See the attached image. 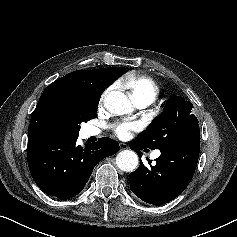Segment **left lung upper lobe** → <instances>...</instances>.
<instances>
[{"mask_svg":"<svg viewBox=\"0 0 237 237\" xmlns=\"http://www.w3.org/2000/svg\"><path fill=\"white\" fill-rule=\"evenodd\" d=\"M192 108L191 102L183 97L173 96L166 110L136 140L152 150L179 144L194 128L199 127Z\"/></svg>","mask_w":237,"mask_h":237,"instance_id":"5c2ea615","label":"left lung upper lobe"}]
</instances>
